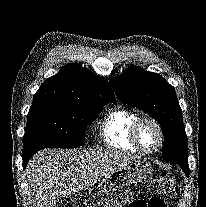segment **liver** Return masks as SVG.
Returning a JSON list of instances; mask_svg holds the SVG:
<instances>
[{"instance_id": "liver-1", "label": "liver", "mask_w": 206, "mask_h": 207, "mask_svg": "<svg viewBox=\"0 0 206 207\" xmlns=\"http://www.w3.org/2000/svg\"><path fill=\"white\" fill-rule=\"evenodd\" d=\"M139 157L107 150L44 149L26 167L35 207H53L59 200L92 187Z\"/></svg>"}]
</instances>
